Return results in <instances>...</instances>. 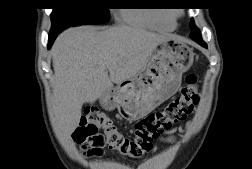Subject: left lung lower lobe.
I'll use <instances>...</instances> for the list:
<instances>
[{
  "label": "left lung lower lobe",
  "instance_id": "1",
  "mask_svg": "<svg viewBox=\"0 0 252 169\" xmlns=\"http://www.w3.org/2000/svg\"><path fill=\"white\" fill-rule=\"evenodd\" d=\"M191 38H192L193 40H195V41H196L198 44H200L201 46L207 47L206 44L204 43V41L202 40V37H201V33H200V32L197 33V34H195V35H193V36H191Z\"/></svg>",
  "mask_w": 252,
  "mask_h": 169
}]
</instances>
